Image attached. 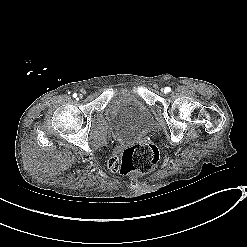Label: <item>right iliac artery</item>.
I'll list each match as a JSON object with an SVG mask.
<instances>
[{
    "mask_svg": "<svg viewBox=\"0 0 247 247\" xmlns=\"http://www.w3.org/2000/svg\"><path fill=\"white\" fill-rule=\"evenodd\" d=\"M73 97H74V98H76V97H77V94H76V93H74V94H73Z\"/></svg>",
    "mask_w": 247,
    "mask_h": 247,
    "instance_id": "right-iliac-artery-1",
    "label": "right iliac artery"
}]
</instances>
